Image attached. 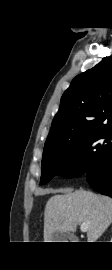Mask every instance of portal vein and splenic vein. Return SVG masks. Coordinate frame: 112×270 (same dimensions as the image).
Listing matches in <instances>:
<instances>
[{"mask_svg":"<svg viewBox=\"0 0 112 270\" xmlns=\"http://www.w3.org/2000/svg\"><path fill=\"white\" fill-rule=\"evenodd\" d=\"M89 223L83 222L81 223L80 229L82 232H86L88 230Z\"/></svg>","mask_w":112,"mask_h":270,"instance_id":"portal-vein-and-splenic-vein-1","label":"portal vein and splenic vein"}]
</instances>
